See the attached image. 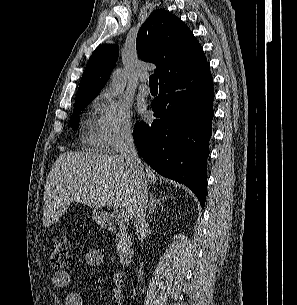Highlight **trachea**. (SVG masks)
<instances>
[{"instance_id": "trachea-1", "label": "trachea", "mask_w": 297, "mask_h": 305, "mask_svg": "<svg viewBox=\"0 0 297 305\" xmlns=\"http://www.w3.org/2000/svg\"><path fill=\"white\" fill-rule=\"evenodd\" d=\"M149 84H150V86H158V76L151 75L149 78Z\"/></svg>"}]
</instances>
